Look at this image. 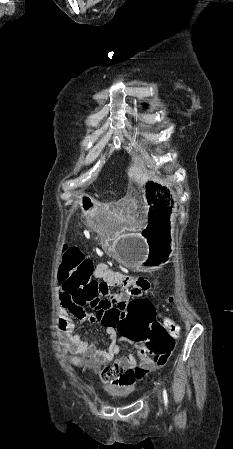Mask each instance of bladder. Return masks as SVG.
<instances>
[{
  "label": "bladder",
  "mask_w": 233,
  "mask_h": 449,
  "mask_svg": "<svg viewBox=\"0 0 233 449\" xmlns=\"http://www.w3.org/2000/svg\"><path fill=\"white\" fill-rule=\"evenodd\" d=\"M109 394L113 397H124L127 396L129 394L128 389H124L118 392H109Z\"/></svg>",
  "instance_id": "obj_1"
}]
</instances>
